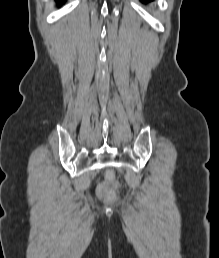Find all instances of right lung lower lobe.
Listing matches in <instances>:
<instances>
[{"instance_id": "obj_1", "label": "right lung lower lobe", "mask_w": 219, "mask_h": 258, "mask_svg": "<svg viewBox=\"0 0 219 258\" xmlns=\"http://www.w3.org/2000/svg\"><path fill=\"white\" fill-rule=\"evenodd\" d=\"M58 3H63L65 0H56Z\"/></svg>"}]
</instances>
